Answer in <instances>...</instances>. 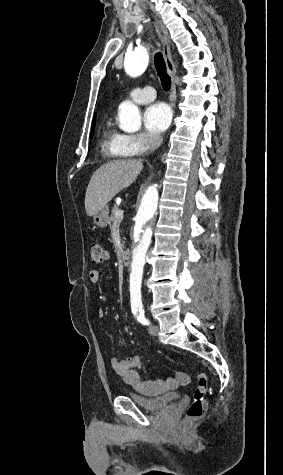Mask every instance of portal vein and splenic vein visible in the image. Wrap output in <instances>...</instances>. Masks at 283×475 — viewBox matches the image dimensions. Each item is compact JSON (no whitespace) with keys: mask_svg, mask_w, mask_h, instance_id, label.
Listing matches in <instances>:
<instances>
[{"mask_svg":"<svg viewBox=\"0 0 283 475\" xmlns=\"http://www.w3.org/2000/svg\"><path fill=\"white\" fill-rule=\"evenodd\" d=\"M116 216H123V212H117Z\"/></svg>","mask_w":283,"mask_h":475,"instance_id":"1","label":"portal vein and splenic vein"}]
</instances>
